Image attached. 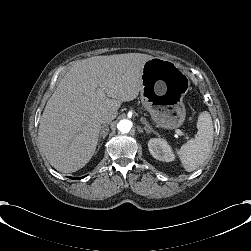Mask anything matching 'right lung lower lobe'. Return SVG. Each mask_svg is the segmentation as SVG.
I'll list each match as a JSON object with an SVG mask.
<instances>
[{"mask_svg":"<svg viewBox=\"0 0 251 251\" xmlns=\"http://www.w3.org/2000/svg\"><path fill=\"white\" fill-rule=\"evenodd\" d=\"M70 178H72V179H81V178H83V177H81V178H73V177H70Z\"/></svg>","mask_w":251,"mask_h":251,"instance_id":"right-lung-lower-lobe-1","label":"right lung lower lobe"}]
</instances>
